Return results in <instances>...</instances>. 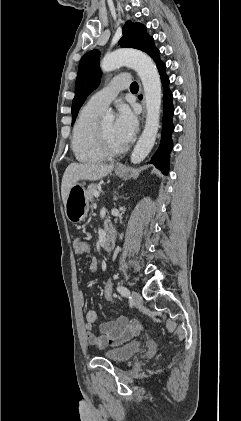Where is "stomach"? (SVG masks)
<instances>
[{
	"label": "stomach",
	"mask_w": 241,
	"mask_h": 421,
	"mask_svg": "<svg viewBox=\"0 0 241 421\" xmlns=\"http://www.w3.org/2000/svg\"><path fill=\"white\" fill-rule=\"evenodd\" d=\"M115 173L119 177H128L129 169L126 167L116 168ZM89 203L86 199V190L82 184H74L68 193L65 202V214L70 222L78 223L87 217Z\"/></svg>",
	"instance_id": "0dacf381"
}]
</instances>
